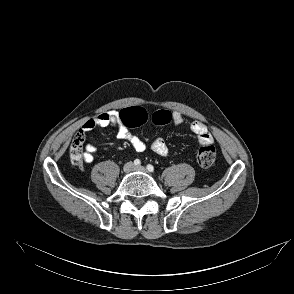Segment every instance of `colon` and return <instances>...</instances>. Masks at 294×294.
Returning a JSON list of instances; mask_svg holds the SVG:
<instances>
[{
	"instance_id": "colon-1",
	"label": "colon",
	"mask_w": 294,
	"mask_h": 294,
	"mask_svg": "<svg viewBox=\"0 0 294 294\" xmlns=\"http://www.w3.org/2000/svg\"><path fill=\"white\" fill-rule=\"evenodd\" d=\"M119 118L121 123L128 127L141 126L149 118L155 125H165L172 121V114L164 109L149 112L143 107L133 106L121 110ZM84 139V134L80 131L74 135L70 144V157L75 164L81 162ZM215 159L216 150L212 145L202 146L197 154V163L203 169L211 167Z\"/></svg>"
}]
</instances>
